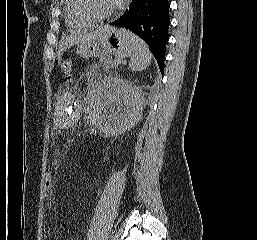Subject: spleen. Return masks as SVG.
Wrapping results in <instances>:
<instances>
[{
    "label": "spleen",
    "instance_id": "1",
    "mask_svg": "<svg viewBox=\"0 0 257 240\" xmlns=\"http://www.w3.org/2000/svg\"><path fill=\"white\" fill-rule=\"evenodd\" d=\"M130 44V63L129 68L132 71H142L146 69L152 61V54L149 47L134 33L125 31Z\"/></svg>",
    "mask_w": 257,
    "mask_h": 240
}]
</instances>
